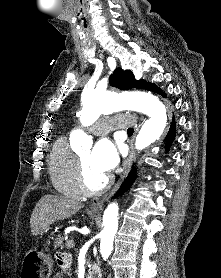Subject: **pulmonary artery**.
<instances>
[{
	"mask_svg": "<svg viewBox=\"0 0 221 278\" xmlns=\"http://www.w3.org/2000/svg\"><path fill=\"white\" fill-rule=\"evenodd\" d=\"M134 124V118L130 115L103 117L99 122L91 125L89 131L95 135H103L112 128L126 129Z\"/></svg>",
	"mask_w": 221,
	"mask_h": 278,
	"instance_id": "1",
	"label": "pulmonary artery"
}]
</instances>
